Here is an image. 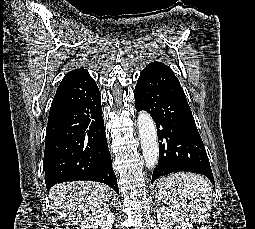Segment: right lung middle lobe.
I'll use <instances>...</instances> for the list:
<instances>
[{
    "mask_svg": "<svg viewBox=\"0 0 255 229\" xmlns=\"http://www.w3.org/2000/svg\"><path fill=\"white\" fill-rule=\"evenodd\" d=\"M53 138V133L52 132H48L46 133V143L45 146L49 143V141Z\"/></svg>",
    "mask_w": 255,
    "mask_h": 229,
    "instance_id": "obj_1",
    "label": "right lung middle lobe"
}]
</instances>
